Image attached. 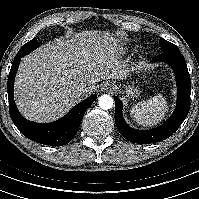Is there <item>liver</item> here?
Masks as SVG:
<instances>
[{
	"mask_svg": "<svg viewBox=\"0 0 199 199\" xmlns=\"http://www.w3.org/2000/svg\"><path fill=\"white\" fill-rule=\"evenodd\" d=\"M127 73L118 40L110 32L81 31L55 39L22 58L15 79L16 104L31 121H54L90 95L96 82L123 80ZM79 84L87 88L81 97L74 94Z\"/></svg>",
	"mask_w": 199,
	"mask_h": 199,
	"instance_id": "6515ba94",
	"label": "liver"
}]
</instances>
